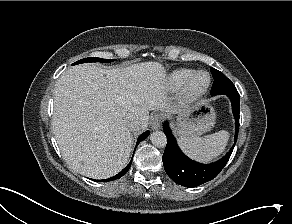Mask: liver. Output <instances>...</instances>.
<instances>
[{
	"instance_id": "liver-1",
	"label": "liver",
	"mask_w": 292,
	"mask_h": 224,
	"mask_svg": "<svg viewBox=\"0 0 292 224\" xmlns=\"http://www.w3.org/2000/svg\"><path fill=\"white\" fill-rule=\"evenodd\" d=\"M167 85V72L159 62L108 69L81 64L65 70L55 85L52 118L65 161L94 179L117 174L133 144L127 121L137 119L139 130H144L149 110L173 111Z\"/></svg>"
}]
</instances>
